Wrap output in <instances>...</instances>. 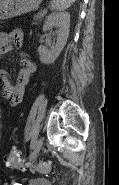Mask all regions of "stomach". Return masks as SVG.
<instances>
[{"instance_id":"obj_1","label":"stomach","mask_w":119,"mask_h":185,"mask_svg":"<svg viewBox=\"0 0 119 185\" xmlns=\"http://www.w3.org/2000/svg\"><path fill=\"white\" fill-rule=\"evenodd\" d=\"M42 0H0V20L36 10Z\"/></svg>"}]
</instances>
